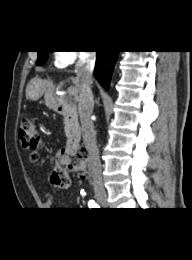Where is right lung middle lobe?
I'll list each match as a JSON object with an SVG mask.
<instances>
[{
  "label": "right lung middle lobe",
  "mask_w": 192,
  "mask_h": 260,
  "mask_svg": "<svg viewBox=\"0 0 192 260\" xmlns=\"http://www.w3.org/2000/svg\"><path fill=\"white\" fill-rule=\"evenodd\" d=\"M48 51H38V59L36 65H42L47 61Z\"/></svg>",
  "instance_id": "right-lung-middle-lobe-1"
}]
</instances>
